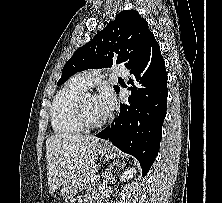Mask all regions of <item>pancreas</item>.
Instances as JSON below:
<instances>
[{"label": "pancreas", "mask_w": 222, "mask_h": 203, "mask_svg": "<svg viewBox=\"0 0 222 203\" xmlns=\"http://www.w3.org/2000/svg\"><path fill=\"white\" fill-rule=\"evenodd\" d=\"M97 170L98 168L94 166L91 169H89L87 172H85L84 175L80 179V185L81 186L88 185L90 183V180L97 176L96 175Z\"/></svg>", "instance_id": "pancreas-1"}]
</instances>
